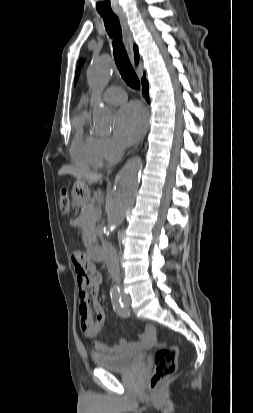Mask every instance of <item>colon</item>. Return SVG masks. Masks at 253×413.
I'll use <instances>...</instances> for the list:
<instances>
[{"instance_id": "1", "label": "colon", "mask_w": 253, "mask_h": 413, "mask_svg": "<svg viewBox=\"0 0 253 413\" xmlns=\"http://www.w3.org/2000/svg\"><path fill=\"white\" fill-rule=\"evenodd\" d=\"M59 207L62 214L71 210V201L66 191L59 197ZM178 346L175 344L162 346L154 356V370L148 383V389L155 392L167 378L171 377L177 368Z\"/></svg>"}]
</instances>
